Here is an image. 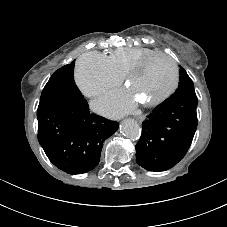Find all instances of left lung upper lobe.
Instances as JSON below:
<instances>
[{
    "label": "left lung upper lobe",
    "mask_w": 227,
    "mask_h": 227,
    "mask_svg": "<svg viewBox=\"0 0 227 227\" xmlns=\"http://www.w3.org/2000/svg\"><path fill=\"white\" fill-rule=\"evenodd\" d=\"M195 95L194 85L187 72L181 68L180 82L176 92L172 96Z\"/></svg>",
    "instance_id": "obj_1"
}]
</instances>
